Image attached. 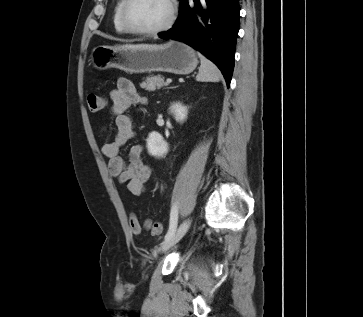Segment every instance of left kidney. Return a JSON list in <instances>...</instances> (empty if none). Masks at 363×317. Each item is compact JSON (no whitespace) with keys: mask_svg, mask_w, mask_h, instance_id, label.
I'll list each match as a JSON object with an SVG mask.
<instances>
[{"mask_svg":"<svg viewBox=\"0 0 363 317\" xmlns=\"http://www.w3.org/2000/svg\"><path fill=\"white\" fill-rule=\"evenodd\" d=\"M169 109L177 122L182 123L185 121L188 111L186 106L178 102L173 103ZM147 149L150 155L162 157L168 152V144L159 133L152 132L147 139Z\"/></svg>","mask_w":363,"mask_h":317,"instance_id":"1","label":"left kidney"}]
</instances>
